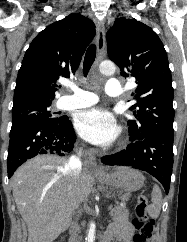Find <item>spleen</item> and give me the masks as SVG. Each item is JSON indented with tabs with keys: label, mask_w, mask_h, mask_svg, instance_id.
<instances>
[{
	"label": "spleen",
	"mask_w": 187,
	"mask_h": 242,
	"mask_svg": "<svg viewBox=\"0 0 187 242\" xmlns=\"http://www.w3.org/2000/svg\"><path fill=\"white\" fill-rule=\"evenodd\" d=\"M162 201V192L157 185H154L152 190V204L148 208V213L152 218H157L159 216Z\"/></svg>",
	"instance_id": "spleen-1"
}]
</instances>
